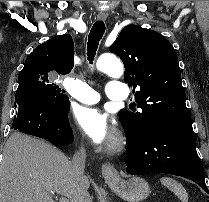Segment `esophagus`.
<instances>
[{
  "mask_svg": "<svg viewBox=\"0 0 209 202\" xmlns=\"http://www.w3.org/2000/svg\"><path fill=\"white\" fill-rule=\"evenodd\" d=\"M107 16V13L100 12L97 15V20L106 21ZM101 173L106 182H110L117 179L119 175L116 168L107 162L102 164Z\"/></svg>",
  "mask_w": 209,
  "mask_h": 202,
  "instance_id": "esophagus-1",
  "label": "esophagus"
}]
</instances>
